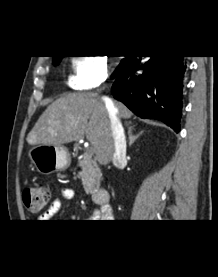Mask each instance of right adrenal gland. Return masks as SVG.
<instances>
[{"mask_svg": "<svg viewBox=\"0 0 218 277\" xmlns=\"http://www.w3.org/2000/svg\"><path fill=\"white\" fill-rule=\"evenodd\" d=\"M132 131H133V128L130 127V128L128 129L129 146H131V145L133 144V142L143 133V131H141V132H139L138 134L133 135Z\"/></svg>", "mask_w": 218, "mask_h": 277, "instance_id": "obj_1", "label": "right adrenal gland"}]
</instances>
